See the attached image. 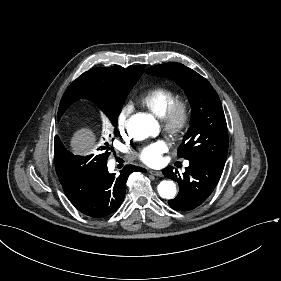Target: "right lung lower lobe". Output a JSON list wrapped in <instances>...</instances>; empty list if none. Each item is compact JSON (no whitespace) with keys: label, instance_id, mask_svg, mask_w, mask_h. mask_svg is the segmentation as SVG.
Instances as JSON below:
<instances>
[{"label":"right lung lower lobe","instance_id":"obj_1","mask_svg":"<svg viewBox=\"0 0 281 281\" xmlns=\"http://www.w3.org/2000/svg\"><path fill=\"white\" fill-rule=\"evenodd\" d=\"M55 149L65 150L57 136ZM107 158L96 155L83 172L73 178L60 180L70 202L80 212L93 218L106 217L115 212L125 197L129 174L134 171L146 172L143 168L126 165L117 175L109 173Z\"/></svg>","mask_w":281,"mask_h":281}]
</instances>
